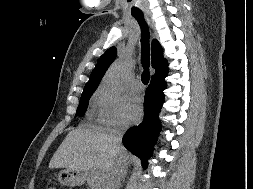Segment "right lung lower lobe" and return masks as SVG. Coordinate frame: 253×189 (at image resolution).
<instances>
[{"mask_svg":"<svg viewBox=\"0 0 253 189\" xmlns=\"http://www.w3.org/2000/svg\"><path fill=\"white\" fill-rule=\"evenodd\" d=\"M166 76L167 74L152 78L144 98V120L138 126L130 128L122 139L127 149L141 159L144 168L147 166V159L152 154L160 130L158 116L164 102Z\"/></svg>","mask_w":253,"mask_h":189,"instance_id":"1","label":"right lung lower lobe"}]
</instances>
